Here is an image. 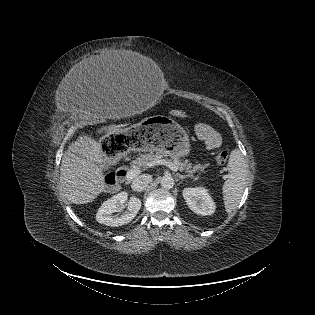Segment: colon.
<instances>
[{
  "label": "colon",
  "instance_id": "1",
  "mask_svg": "<svg viewBox=\"0 0 315 315\" xmlns=\"http://www.w3.org/2000/svg\"><path fill=\"white\" fill-rule=\"evenodd\" d=\"M173 115L176 117H179V118L186 117L185 112H183L181 110H174ZM228 157H229V152L227 150H223V151L218 153V155L216 157V161L218 164L224 165L227 162Z\"/></svg>",
  "mask_w": 315,
  "mask_h": 315
}]
</instances>
